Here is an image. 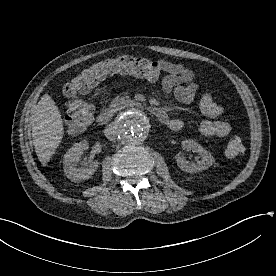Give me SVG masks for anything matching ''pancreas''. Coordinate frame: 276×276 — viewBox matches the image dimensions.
I'll return each instance as SVG.
<instances>
[{
    "label": "pancreas",
    "mask_w": 276,
    "mask_h": 276,
    "mask_svg": "<svg viewBox=\"0 0 276 276\" xmlns=\"http://www.w3.org/2000/svg\"><path fill=\"white\" fill-rule=\"evenodd\" d=\"M135 101L130 99L128 96H117L111 101V107L116 111L122 110L128 106H134Z\"/></svg>",
    "instance_id": "pancreas-1"
}]
</instances>
